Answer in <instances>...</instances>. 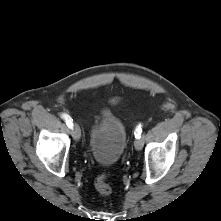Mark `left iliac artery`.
Masks as SVG:
<instances>
[{"instance_id": "44dca946", "label": "left iliac artery", "mask_w": 221, "mask_h": 221, "mask_svg": "<svg viewBox=\"0 0 221 221\" xmlns=\"http://www.w3.org/2000/svg\"><path fill=\"white\" fill-rule=\"evenodd\" d=\"M142 133L141 125L137 126L134 132L135 138H140Z\"/></svg>"}]
</instances>
